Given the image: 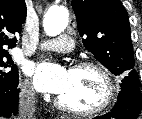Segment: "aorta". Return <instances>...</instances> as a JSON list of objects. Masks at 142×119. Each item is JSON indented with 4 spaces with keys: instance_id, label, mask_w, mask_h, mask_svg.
Masks as SVG:
<instances>
[{
    "instance_id": "762f6f07",
    "label": "aorta",
    "mask_w": 142,
    "mask_h": 119,
    "mask_svg": "<svg viewBox=\"0 0 142 119\" xmlns=\"http://www.w3.org/2000/svg\"><path fill=\"white\" fill-rule=\"evenodd\" d=\"M69 13L68 10L61 6L50 8L45 14L43 20L44 31L48 36H57L67 26Z\"/></svg>"
}]
</instances>
